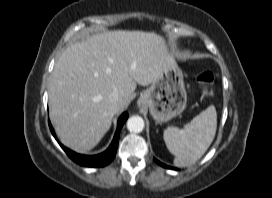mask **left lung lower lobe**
I'll use <instances>...</instances> for the list:
<instances>
[{
	"mask_svg": "<svg viewBox=\"0 0 272 198\" xmlns=\"http://www.w3.org/2000/svg\"><path fill=\"white\" fill-rule=\"evenodd\" d=\"M155 161H156L159 165H161L162 167H165V168H168V169H173L172 167H169V166H167V165H165V164L159 162V161L156 160V159H155Z\"/></svg>",
	"mask_w": 272,
	"mask_h": 198,
	"instance_id": "obj_1",
	"label": "left lung lower lobe"
}]
</instances>
